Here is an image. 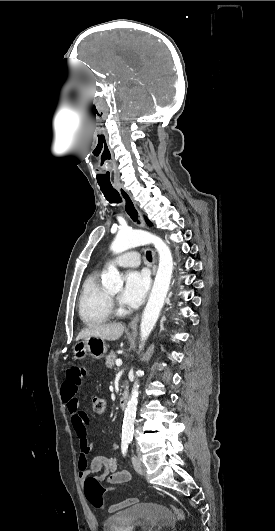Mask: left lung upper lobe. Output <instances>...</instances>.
Here are the masks:
<instances>
[{"label": "left lung upper lobe", "mask_w": 275, "mask_h": 531, "mask_svg": "<svg viewBox=\"0 0 275 531\" xmlns=\"http://www.w3.org/2000/svg\"><path fill=\"white\" fill-rule=\"evenodd\" d=\"M146 221H147V223H148L149 225H152L151 222H150L148 219H146Z\"/></svg>", "instance_id": "5c2ea615"}]
</instances>
